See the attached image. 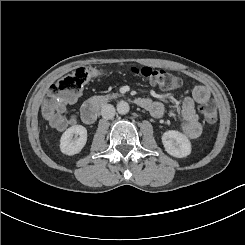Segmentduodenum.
<instances>
[{"label": "duodenum", "mask_w": 245, "mask_h": 245, "mask_svg": "<svg viewBox=\"0 0 245 245\" xmlns=\"http://www.w3.org/2000/svg\"><path fill=\"white\" fill-rule=\"evenodd\" d=\"M108 101V97L98 96L85 103L81 110V118L83 122L86 124L94 123L98 118L101 109L108 103ZM134 102L146 110H150L153 106L152 101L147 98H135Z\"/></svg>", "instance_id": "1"}]
</instances>
